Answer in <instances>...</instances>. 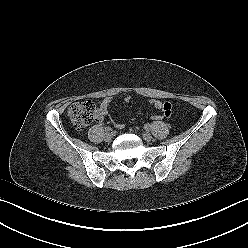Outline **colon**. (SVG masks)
<instances>
[{
    "mask_svg": "<svg viewBox=\"0 0 248 248\" xmlns=\"http://www.w3.org/2000/svg\"><path fill=\"white\" fill-rule=\"evenodd\" d=\"M95 105L91 101H79L73 103L68 108V117L73 125V127L77 130H81L88 126L94 117ZM162 116L160 115H152V121H160L162 120Z\"/></svg>",
    "mask_w": 248,
    "mask_h": 248,
    "instance_id": "1",
    "label": "colon"
}]
</instances>
